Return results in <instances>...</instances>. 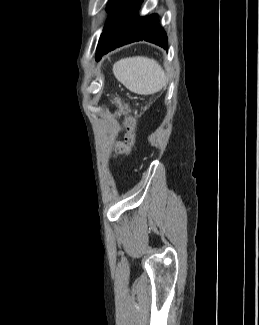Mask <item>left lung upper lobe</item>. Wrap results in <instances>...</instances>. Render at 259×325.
Wrapping results in <instances>:
<instances>
[{
	"instance_id": "left-lung-upper-lobe-1",
	"label": "left lung upper lobe",
	"mask_w": 259,
	"mask_h": 325,
	"mask_svg": "<svg viewBox=\"0 0 259 325\" xmlns=\"http://www.w3.org/2000/svg\"><path fill=\"white\" fill-rule=\"evenodd\" d=\"M124 0H110L107 10L111 12L109 15V18L106 21V24L104 26L103 32L105 31L111 17L114 15V13L119 9V7L123 4ZM102 38H103V33L100 36L99 43H98V48H97V54H96V60L100 59V52H101V44H102Z\"/></svg>"
}]
</instances>
